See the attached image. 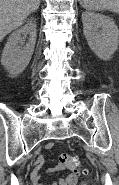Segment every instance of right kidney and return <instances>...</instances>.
Returning a JSON list of instances; mask_svg holds the SVG:
<instances>
[{
  "label": "right kidney",
  "instance_id": "right-kidney-1",
  "mask_svg": "<svg viewBox=\"0 0 119 185\" xmlns=\"http://www.w3.org/2000/svg\"><path fill=\"white\" fill-rule=\"evenodd\" d=\"M29 34L28 42L24 45L21 36ZM37 37L36 24L29 21L20 29L14 31L3 50L1 63L14 78L22 73L33 55Z\"/></svg>",
  "mask_w": 119,
  "mask_h": 185
}]
</instances>
